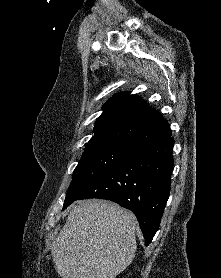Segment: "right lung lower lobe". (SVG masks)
Wrapping results in <instances>:
<instances>
[{"mask_svg": "<svg viewBox=\"0 0 221 278\" xmlns=\"http://www.w3.org/2000/svg\"><path fill=\"white\" fill-rule=\"evenodd\" d=\"M173 145L174 140L169 136L134 146L126 160L97 179L78 199H106L131 210L148 246L169 198Z\"/></svg>", "mask_w": 221, "mask_h": 278, "instance_id": "1", "label": "right lung lower lobe"}]
</instances>
